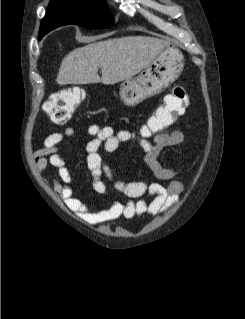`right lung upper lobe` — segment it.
Instances as JSON below:
<instances>
[{
  "instance_id": "cb5924a9",
  "label": "right lung upper lobe",
  "mask_w": 245,
  "mask_h": 319,
  "mask_svg": "<svg viewBox=\"0 0 245 319\" xmlns=\"http://www.w3.org/2000/svg\"><path fill=\"white\" fill-rule=\"evenodd\" d=\"M53 1H61V0H51V2H53ZM55 25H56V23H54V22L51 20L50 12L47 11V12H46V15H45V17H44V19H43L42 22H41V29H42V30H45V29H47V28H49V27H51V26H55Z\"/></svg>"
}]
</instances>
